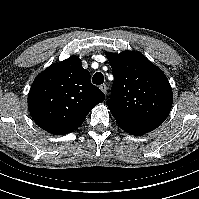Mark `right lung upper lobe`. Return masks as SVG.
Returning <instances> with one entry per match:
<instances>
[{
  "label": "right lung upper lobe",
  "mask_w": 199,
  "mask_h": 199,
  "mask_svg": "<svg viewBox=\"0 0 199 199\" xmlns=\"http://www.w3.org/2000/svg\"><path fill=\"white\" fill-rule=\"evenodd\" d=\"M104 99V93L91 84L90 73L79 57L70 56L35 78L28 109L39 127L65 135L81 126L89 111Z\"/></svg>",
  "instance_id": "1"
}]
</instances>
